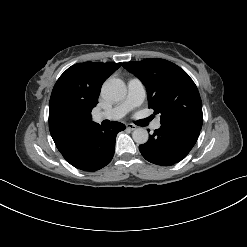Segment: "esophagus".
I'll list each match as a JSON object with an SVG mask.
<instances>
[{"label": "esophagus", "mask_w": 247, "mask_h": 247, "mask_svg": "<svg viewBox=\"0 0 247 247\" xmlns=\"http://www.w3.org/2000/svg\"><path fill=\"white\" fill-rule=\"evenodd\" d=\"M126 127H127L128 129H130V130H135V129L137 128L136 125L131 124V123L126 124Z\"/></svg>", "instance_id": "esophagus-1"}]
</instances>
